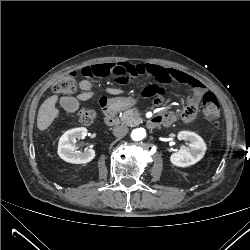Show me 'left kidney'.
<instances>
[{
    "mask_svg": "<svg viewBox=\"0 0 250 250\" xmlns=\"http://www.w3.org/2000/svg\"><path fill=\"white\" fill-rule=\"evenodd\" d=\"M179 140L189 141V148H182L170 156V161L178 167L191 166L200 161L206 152L204 140L194 132L181 131L177 135Z\"/></svg>",
    "mask_w": 250,
    "mask_h": 250,
    "instance_id": "5707ae66",
    "label": "left kidney"
}]
</instances>
